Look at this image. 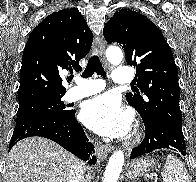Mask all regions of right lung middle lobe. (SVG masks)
<instances>
[{
	"mask_svg": "<svg viewBox=\"0 0 196 182\" xmlns=\"http://www.w3.org/2000/svg\"><path fill=\"white\" fill-rule=\"evenodd\" d=\"M63 96L35 100L29 103L19 105L16 124L42 116H52L66 118L73 114L74 110L67 109V106L61 101Z\"/></svg>",
	"mask_w": 196,
	"mask_h": 182,
	"instance_id": "dd1d6c3e",
	"label": "right lung middle lobe"
}]
</instances>
